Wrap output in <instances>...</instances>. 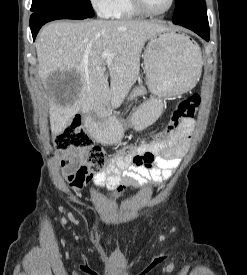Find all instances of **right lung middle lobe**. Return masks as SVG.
<instances>
[{
	"mask_svg": "<svg viewBox=\"0 0 247 275\" xmlns=\"http://www.w3.org/2000/svg\"><path fill=\"white\" fill-rule=\"evenodd\" d=\"M60 10L78 15L93 17L90 0H32L31 11Z\"/></svg>",
	"mask_w": 247,
	"mask_h": 275,
	"instance_id": "1",
	"label": "right lung middle lobe"
}]
</instances>
